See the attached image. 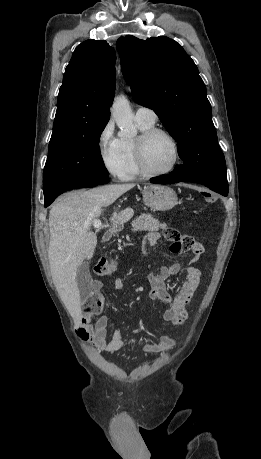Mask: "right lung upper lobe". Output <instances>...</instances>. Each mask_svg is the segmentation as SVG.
<instances>
[{
    "label": "right lung upper lobe",
    "instance_id": "cb5924a9",
    "mask_svg": "<svg viewBox=\"0 0 261 459\" xmlns=\"http://www.w3.org/2000/svg\"><path fill=\"white\" fill-rule=\"evenodd\" d=\"M116 53L106 41L87 40L74 51L60 87L51 137L79 133L110 118Z\"/></svg>",
    "mask_w": 261,
    "mask_h": 459
}]
</instances>
